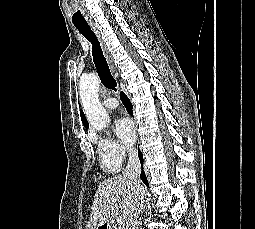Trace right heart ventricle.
Wrapping results in <instances>:
<instances>
[{"instance_id":"right-heart-ventricle-1","label":"right heart ventricle","mask_w":255,"mask_h":229,"mask_svg":"<svg viewBox=\"0 0 255 229\" xmlns=\"http://www.w3.org/2000/svg\"><path fill=\"white\" fill-rule=\"evenodd\" d=\"M120 168H116L114 171H118Z\"/></svg>"}]
</instances>
